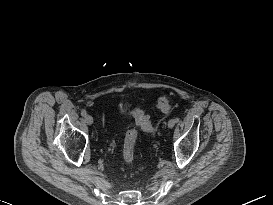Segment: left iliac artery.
<instances>
[{"label":"left iliac artery","mask_w":273,"mask_h":205,"mask_svg":"<svg viewBox=\"0 0 273 205\" xmlns=\"http://www.w3.org/2000/svg\"><path fill=\"white\" fill-rule=\"evenodd\" d=\"M174 120H175L176 123L179 122V118L178 117H176Z\"/></svg>","instance_id":"44dca946"}]
</instances>
